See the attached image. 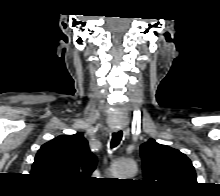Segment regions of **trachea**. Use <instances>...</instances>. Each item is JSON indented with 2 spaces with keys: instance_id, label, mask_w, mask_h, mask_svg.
Listing matches in <instances>:
<instances>
[{
  "instance_id": "3493384b",
  "label": "trachea",
  "mask_w": 220,
  "mask_h": 196,
  "mask_svg": "<svg viewBox=\"0 0 220 196\" xmlns=\"http://www.w3.org/2000/svg\"><path fill=\"white\" fill-rule=\"evenodd\" d=\"M122 136H123L122 131H117V132L113 133L110 147L114 148V147L118 146L122 140Z\"/></svg>"
}]
</instances>
